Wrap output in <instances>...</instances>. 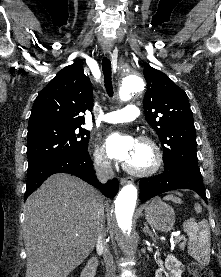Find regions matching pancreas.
Here are the masks:
<instances>
[{"label":"pancreas","instance_id":"pancreas-1","mask_svg":"<svg viewBox=\"0 0 221 277\" xmlns=\"http://www.w3.org/2000/svg\"><path fill=\"white\" fill-rule=\"evenodd\" d=\"M180 248H182V249H183V248H184V244H181Z\"/></svg>","mask_w":221,"mask_h":277}]
</instances>
